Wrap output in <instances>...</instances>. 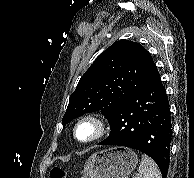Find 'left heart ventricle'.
Wrapping results in <instances>:
<instances>
[{
  "label": "left heart ventricle",
  "instance_id": "b2bd125f",
  "mask_svg": "<svg viewBox=\"0 0 194 178\" xmlns=\"http://www.w3.org/2000/svg\"><path fill=\"white\" fill-rule=\"evenodd\" d=\"M94 126L90 123L83 124L77 131V136L81 140H87L94 134Z\"/></svg>",
  "mask_w": 194,
  "mask_h": 178
}]
</instances>
